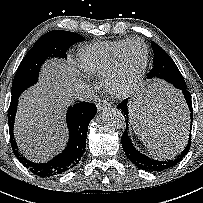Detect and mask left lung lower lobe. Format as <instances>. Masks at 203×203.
I'll return each mask as SVG.
<instances>
[{
  "label": "left lung lower lobe",
  "mask_w": 203,
  "mask_h": 203,
  "mask_svg": "<svg viewBox=\"0 0 203 203\" xmlns=\"http://www.w3.org/2000/svg\"><path fill=\"white\" fill-rule=\"evenodd\" d=\"M166 74H165V79L167 82L173 84L177 89H180L184 95L186 104L188 106L189 112H190V118L191 122L189 121V114L187 111V108L184 104L183 101V106L186 109V114H187V122H188V127L189 128V122H190V135H189V140L188 144L185 147V149L175 158L173 159H167V160H155L152 158H149L142 153H140L138 150L135 149L133 146L131 139L128 135V120H126L127 125L126 129L122 135L121 138V143L123 150L126 154V156L130 159V161L139 169L145 170V171H150V172H162L165 170L170 169L171 167L175 166L177 163H179L184 156L188 153L189 148L191 146V128H192V117H193V111H192V101H191V94L186 90V83L181 75L179 69L177 66L172 65L170 66L169 63L166 64ZM118 108L121 109L122 112L126 115L125 118L128 119V107H127V100H124L122 103L118 105Z\"/></svg>",
  "instance_id": "0a47b994"
}]
</instances>
